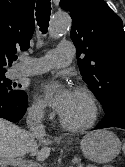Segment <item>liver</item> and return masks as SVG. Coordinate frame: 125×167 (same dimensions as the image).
<instances>
[{"label":"liver","mask_w":125,"mask_h":167,"mask_svg":"<svg viewBox=\"0 0 125 167\" xmlns=\"http://www.w3.org/2000/svg\"><path fill=\"white\" fill-rule=\"evenodd\" d=\"M50 143L51 141L44 135H35L33 132L23 130L0 118V159L17 158L30 153L38 161H43L50 155L48 147ZM40 144L44 146L38 150Z\"/></svg>","instance_id":"6515ba94"}]
</instances>
